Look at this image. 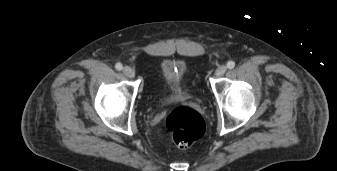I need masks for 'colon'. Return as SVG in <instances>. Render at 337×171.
Listing matches in <instances>:
<instances>
[{"label":"colon","mask_w":337,"mask_h":171,"mask_svg":"<svg viewBox=\"0 0 337 171\" xmlns=\"http://www.w3.org/2000/svg\"><path fill=\"white\" fill-rule=\"evenodd\" d=\"M165 129L178 147L186 148L204 135L205 121L197 111L179 107L167 116Z\"/></svg>","instance_id":"5ec220e1"}]
</instances>
